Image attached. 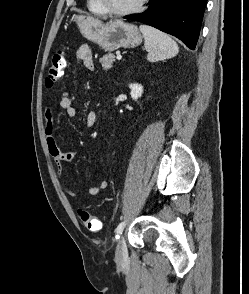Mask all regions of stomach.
Instances as JSON below:
<instances>
[{
	"instance_id": "stomach-1",
	"label": "stomach",
	"mask_w": 249,
	"mask_h": 294,
	"mask_svg": "<svg viewBox=\"0 0 249 294\" xmlns=\"http://www.w3.org/2000/svg\"><path fill=\"white\" fill-rule=\"evenodd\" d=\"M81 34L89 41L97 44L105 51L120 47H136L142 42V36L136 25L122 20L103 23L91 16H73Z\"/></svg>"
}]
</instances>
